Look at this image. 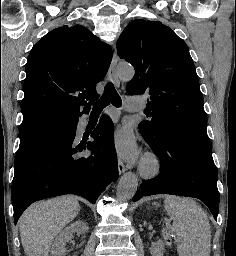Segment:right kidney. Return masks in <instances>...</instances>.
<instances>
[{"label":"right kidney","mask_w":236,"mask_h":256,"mask_svg":"<svg viewBox=\"0 0 236 256\" xmlns=\"http://www.w3.org/2000/svg\"><path fill=\"white\" fill-rule=\"evenodd\" d=\"M88 230L89 226H87L85 222H74V224H70L69 228H65V230H62L61 234H59V238L52 248V256H65L66 250L64 246L66 242L72 240L73 232L86 234Z\"/></svg>","instance_id":"ca27d5eb"}]
</instances>
